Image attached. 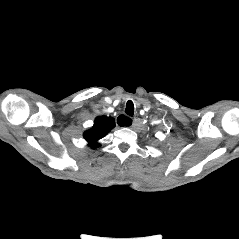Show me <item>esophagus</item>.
Here are the masks:
<instances>
[{
  "label": "esophagus",
  "instance_id": "1",
  "mask_svg": "<svg viewBox=\"0 0 239 239\" xmlns=\"http://www.w3.org/2000/svg\"><path fill=\"white\" fill-rule=\"evenodd\" d=\"M136 119H133V118H129L125 115H119L118 118H117V123L119 126L121 127H134L136 125ZM132 125V126H131Z\"/></svg>",
  "mask_w": 239,
  "mask_h": 239
}]
</instances>
